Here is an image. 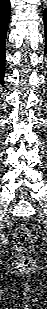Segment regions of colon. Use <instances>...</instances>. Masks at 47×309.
Instances as JSON below:
<instances>
[{"label":"colon","instance_id":"5ec220e1","mask_svg":"<svg viewBox=\"0 0 47 309\" xmlns=\"http://www.w3.org/2000/svg\"><path fill=\"white\" fill-rule=\"evenodd\" d=\"M13 243L18 252L17 264L23 271H31L35 268V260L29 255L33 249L31 231L26 226H19L13 233Z\"/></svg>","mask_w":47,"mask_h":309}]
</instances>
